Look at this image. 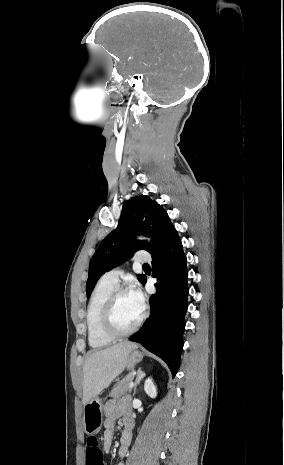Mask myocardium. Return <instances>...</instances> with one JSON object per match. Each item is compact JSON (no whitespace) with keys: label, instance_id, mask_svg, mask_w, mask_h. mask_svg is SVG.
Returning a JSON list of instances; mask_svg holds the SVG:
<instances>
[{"label":"myocardium","instance_id":"myocardium-1","mask_svg":"<svg viewBox=\"0 0 284 465\" xmlns=\"http://www.w3.org/2000/svg\"><path fill=\"white\" fill-rule=\"evenodd\" d=\"M126 294H128L126 290H123V289L114 290L112 294L109 296L106 302L104 311H103L102 320H101V330L105 336H107L113 341H121V340H124V339H127L133 336L138 331V329L140 328L141 324L143 323L146 317L145 311H142L140 319L130 331H128L127 333H123V334H120L116 331L115 326H114V321H115V311H116L117 301L120 296L126 295Z\"/></svg>","mask_w":284,"mask_h":465}]
</instances>
